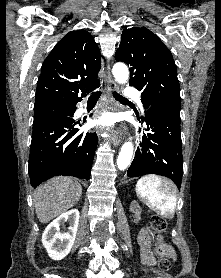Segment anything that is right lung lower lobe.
<instances>
[{"label": "right lung lower lobe", "mask_w": 221, "mask_h": 278, "mask_svg": "<svg viewBox=\"0 0 221 278\" xmlns=\"http://www.w3.org/2000/svg\"><path fill=\"white\" fill-rule=\"evenodd\" d=\"M81 100L66 102L70 115L53 116L33 125L28 172L34 188L58 175L89 179L98 137L76 127L79 122L73 114Z\"/></svg>", "instance_id": "1"}]
</instances>
